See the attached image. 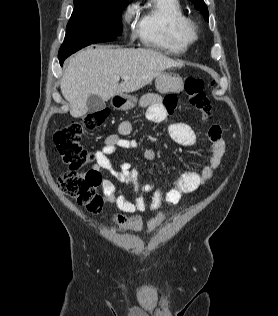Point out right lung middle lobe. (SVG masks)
<instances>
[{"mask_svg":"<svg viewBox=\"0 0 278 316\" xmlns=\"http://www.w3.org/2000/svg\"><path fill=\"white\" fill-rule=\"evenodd\" d=\"M123 5L124 0H74L59 59L87 45L112 41L121 35Z\"/></svg>","mask_w":278,"mask_h":316,"instance_id":"1","label":"right lung middle lobe"}]
</instances>
